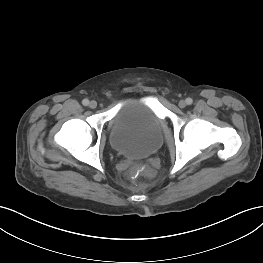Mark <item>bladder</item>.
<instances>
[{
	"instance_id": "bladder-1",
	"label": "bladder",
	"mask_w": 263,
	"mask_h": 263,
	"mask_svg": "<svg viewBox=\"0 0 263 263\" xmlns=\"http://www.w3.org/2000/svg\"><path fill=\"white\" fill-rule=\"evenodd\" d=\"M109 142L125 157L150 156L163 143L161 120L144 100L126 99L111 120Z\"/></svg>"
}]
</instances>
